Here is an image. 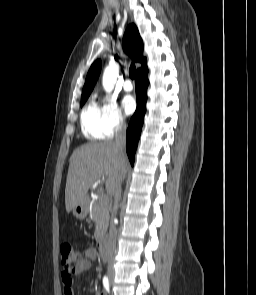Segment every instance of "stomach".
<instances>
[{
  "label": "stomach",
  "instance_id": "obj_1",
  "mask_svg": "<svg viewBox=\"0 0 256 295\" xmlns=\"http://www.w3.org/2000/svg\"><path fill=\"white\" fill-rule=\"evenodd\" d=\"M88 205L87 203L78 204L73 208V215L79 219L83 220L88 215Z\"/></svg>",
  "mask_w": 256,
  "mask_h": 295
}]
</instances>
